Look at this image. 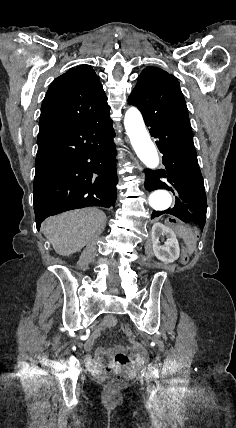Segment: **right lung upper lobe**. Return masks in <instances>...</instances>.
<instances>
[{
  "mask_svg": "<svg viewBox=\"0 0 236 428\" xmlns=\"http://www.w3.org/2000/svg\"><path fill=\"white\" fill-rule=\"evenodd\" d=\"M99 77L89 65L71 68L50 85L41 107L38 136L85 124L109 113Z\"/></svg>",
  "mask_w": 236,
  "mask_h": 428,
  "instance_id": "cb5924a9",
  "label": "right lung upper lobe"
}]
</instances>
